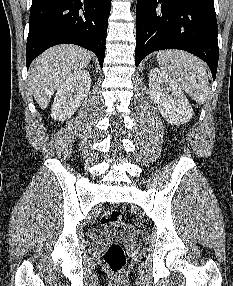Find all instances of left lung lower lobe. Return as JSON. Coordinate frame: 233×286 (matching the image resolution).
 <instances>
[{
    "label": "left lung lower lobe",
    "instance_id": "obj_1",
    "mask_svg": "<svg viewBox=\"0 0 233 286\" xmlns=\"http://www.w3.org/2000/svg\"><path fill=\"white\" fill-rule=\"evenodd\" d=\"M217 33L214 0H137L136 66L153 51L181 49L204 60L215 79Z\"/></svg>",
    "mask_w": 233,
    "mask_h": 286
}]
</instances>
